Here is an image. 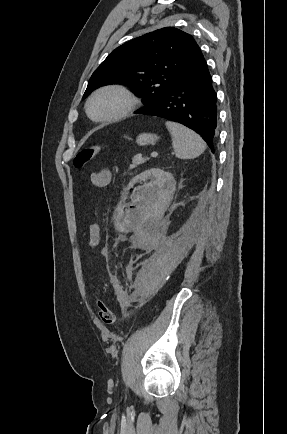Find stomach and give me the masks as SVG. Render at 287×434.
Returning <instances> with one entry per match:
<instances>
[{
	"mask_svg": "<svg viewBox=\"0 0 287 434\" xmlns=\"http://www.w3.org/2000/svg\"><path fill=\"white\" fill-rule=\"evenodd\" d=\"M158 139L159 137L155 134L142 133L137 137L136 142L138 145H153Z\"/></svg>",
	"mask_w": 287,
	"mask_h": 434,
	"instance_id": "obj_1",
	"label": "stomach"
}]
</instances>
